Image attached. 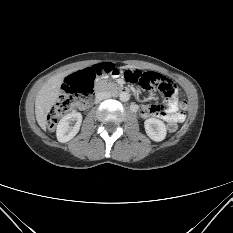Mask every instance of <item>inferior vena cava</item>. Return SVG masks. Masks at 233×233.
<instances>
[{
	"mask_svg": "<svg viewBox=\"0 0 233 233\" xmlns=\"http://www.w3.org/2000/svg\"><path fill=\"white\" fill-rule=\"evenodd\" d=\"M110 97H111V95L107 92L97 93L96 97H95V101H96V103H98V102L105 100V99H108Z\"/></svg>",
	"mask_w": 233,
	"mask_h": 233,
	"instance_id": "602c4592",
	"label": "inferior vena cava"
}]
</instances>
